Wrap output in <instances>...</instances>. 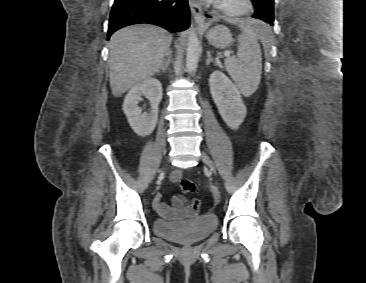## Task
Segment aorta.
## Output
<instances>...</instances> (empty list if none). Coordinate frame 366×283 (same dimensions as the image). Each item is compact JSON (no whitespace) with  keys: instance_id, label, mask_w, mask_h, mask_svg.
Instances as JSON below:
<instances>
[{"instance_id":"aorta-1","label":"aorta","mask_w":366,"mask_h":283,"mask_svg":"<svg viewBox=\"0 0 366 283\" xmlns=\"http://www.w3.org/2000/svg\"><path fill=\"white\" fill-rule=\"evenodd\" d=\"M201 55V46L197 34L192 31L188 38L186 51V72L191 73L196 70L199 57Z\"/></svg>"}]
</instances>
